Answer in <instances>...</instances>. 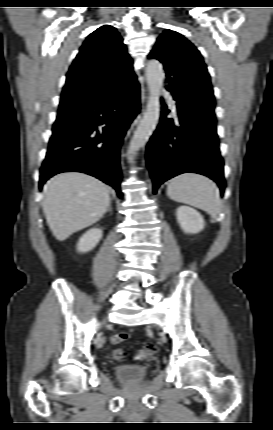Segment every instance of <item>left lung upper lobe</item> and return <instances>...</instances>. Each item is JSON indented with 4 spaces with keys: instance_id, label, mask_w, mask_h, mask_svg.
Segmentation results:
<instances>
[{
    "instance_id": "left-lung-upper-lobe-1",
    "label": "left lung upper lobe",
    "mask_w": 273,
    "mask_h": 430,
    "mask_svg": "<svg viewBox=\"0 0 273 430\" xmlns=\"http://www.w3.org/2000/svg\"><path fill=\"white\" fill-rule=\"evenodd\" d=\"M163 63L167 90L177 105L202 119L215 120V98L207 67L197 48L185 37L165 30L148 55Z\"/></svg>"
}]
</instances>
